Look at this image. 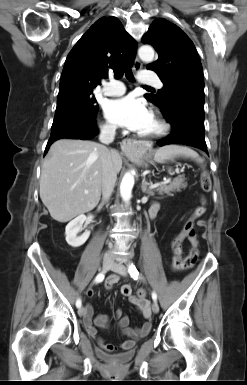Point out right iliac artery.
<instances>
[{
    "instance_id": "obj_1",
    "label": "right iliac artery",
    "mask_w": 247,
    "mask_h": 385,
    "mask_svg": "<svg viewBox=\"0 0 247 385\" xmlns=\"http://www.w3.org/2000/svg\"><path fill=\"white\" fill-rule=\"evenodd\" d=\"M104 277H105V275H104L103 272H102V273H99V274L96 276L94 282H95V283H100V282H102V281L104 280ZM81 305H82V302H81V299L79 298V299H77V301H76V307H77V308H80Z\"/></svg>"
}]
</instances>
